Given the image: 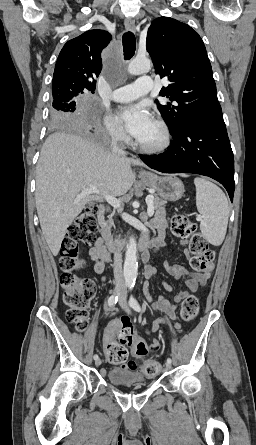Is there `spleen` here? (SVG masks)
<instances>
[{
	"label": "spleen",
	"mask_w": 256,
	"mask_h": 445,
	"mask_svg": "<svg viewBox=\"0 0 256 445\" xmlns=\"http://www.w3.org/2000/svg\"><path fill=\"white\" fill-rule=\"evenodd\" d=\"M196 206L202 215L200 230L208 242L222 244L227 230L229 205L224 192L205 178H195Z\"/></svg>",
	"instance_id": "3e777b00"
}]
</instances>
